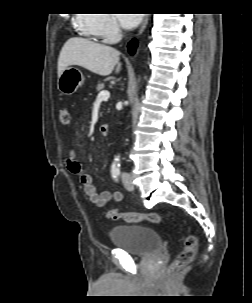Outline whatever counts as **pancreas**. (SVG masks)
<instances>
[{
	"mask_svg": "<svg viewBox=\"0 0 252 303\" xmlns=\"http://www.w3.org/2000/svg\"><path fill=\"white\" fill-rule=\"evenodd\" d=\"M104 87H105L104 83L99 82L96 86V90L101 91L104 89Z\"/></svg>",
	"mask_w": 252,
	"mask_h": 303,
	"instance_id": "cf45deb5",
	"label": "pancreas"
}]
</instances>
